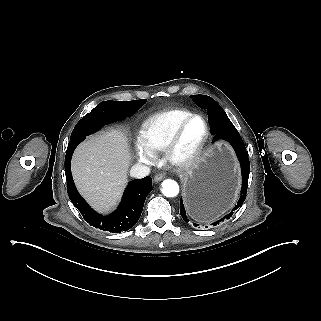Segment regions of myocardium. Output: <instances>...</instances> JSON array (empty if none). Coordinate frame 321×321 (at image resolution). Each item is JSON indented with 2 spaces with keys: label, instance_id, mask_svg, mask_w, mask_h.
I'll return each mask as SVG.
<instances>
[{
  "label": "myocardium",
  "instance_id": "1",
  "mask_svg": "<svg viewBox=\"0 0 321 321\" xmlns=\"http://www.w3.org/2000/svg\"><path fill=\"white\" fill-rule=\"evenodd\" d=\"M194 119H200L203 122L204 133L196 147L188 153H182L179 148V141L184 128ZM209 125L207 120L200 114H192L180 121L173 129L166 146L164 148V157L166 161L176 167H187L193 164L202 154L208 139Z\"/></svg>",
  "mask_w": 321,
  "mask_h": 321
}]
</instances>
